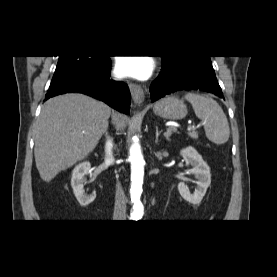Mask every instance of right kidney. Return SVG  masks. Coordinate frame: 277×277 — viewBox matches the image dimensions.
I'll list each match as a JSON object with an SVG mask.
<instances>
[{"instance_id": "ca27d5eb", "label": "right kidney", "mask_w": 277, "mask_h": 277, "mask_svg": "<svg viewBox=\"0 0 277 277\" xmlns=\"http://www.w3.org/2000/svg\"><path fill=\"white\" fill-rule=\"evenodd\" d=\"M91 173L90 162H82L75 166L72 171L71 186L76 199L81 206H87L94 201L95 192L91 195L85 194L84 184L86 183V175Z\"/></svg>"}]
</instances>
